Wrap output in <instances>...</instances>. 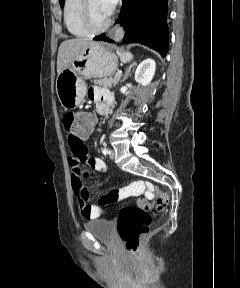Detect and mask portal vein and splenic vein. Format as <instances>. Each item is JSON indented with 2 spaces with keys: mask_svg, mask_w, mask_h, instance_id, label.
I'll return each instance as SVG.
<instances>
[{
  "mask_svg": "<svg viewBox=\"0 0 240 288\" xmlns=\"http://www.w3.org/2000/svg\"><path fill=\"white\" fill-rule=\"evenodd\" d=\"M121 74H122V72H118L116 75H119V76H120Z\"/></svg>",
  "mask_w": 240,
  "mask_h": 288,
  "instance_id": "18ae733b",
  "label": "portal vein and splenic vein"
}]
</instances>
